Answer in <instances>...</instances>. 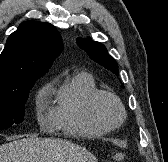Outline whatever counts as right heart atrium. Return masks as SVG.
I'll list each match as a JSON object with an SVG mask.
<instances>
[{
    "mask_svg": "<svg viewBox=\"0 0 168 162\" xmlns=\"http://www.w3.org/2000/svg\"><path fill=\"white\" fill-rule=\"evenodd\" d=\"M51 115H52V112L46 108L42 100V97L40 96L38 100V107H37L38 120L43 124L47 123L51 119Z\"/></svg>",
    "mask_w": 168,
    "mask_h": 162,
    "instance_id": "d8ad5b80",
    "label": "right heart atrium"
}]
</instances>
